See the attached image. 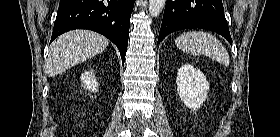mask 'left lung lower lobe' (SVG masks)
Returning a JSON list of instances; mask_svg holds the SVG:
<instances>
[{"instance_id": "left-lung-lower-lobe-1", "label": "left lung lower lobe", "mask_w": 280, "mask_h": 137, "mask_svg": "<svg viewBox=\"0 0 280 137\" xmlns=\"http://www.w3.org/2000/svg\"><path fill=\"white\" fill-rule=\"evenodd\" d=\"M187 28L217 32L232 44L222 0H167L158 43L168 34Z\"/></svg>"}]
</instances>
